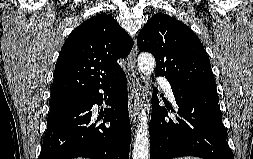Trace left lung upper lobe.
Instances as JSON below:
<instances>
[{
  "label": "left lung upper lobe",
  "instance_id": "obj_1",
  "mask_svg": "<svg viewBox=\"0 0 253 159\" xmlns=\"http://www.w3.org/2000/svg\"><path fill=\"white\" fill-rule=\"evenodd\" d=\"M141 51L154 55L157 75L165 76L171 85L215 91L211 64L194 32L182 22L155 14L137 37Z\"/></svg>",
  "mask_w": 253,
  "mask_h": 159
}]
</instances>
